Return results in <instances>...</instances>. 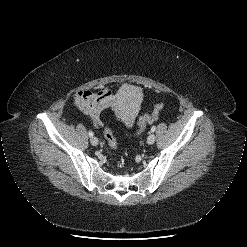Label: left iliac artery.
Masks as SVG:
<instances>
[{
  "label": "left iliac artery",
  "instance_id": "1",
  "mask_svg": "<svg viewBox=\"0 0 247 247\" xmlns=\"http://www.w3.org/2000/svg\"><path fill=\"white\" fill-rule=\"evenodd\" d=\"M156 130V126L154 125V126H152V128H151V132H154Z\"/></svg>",
  "mask_w": 247,
  "mask_h": 247
}]
</instances>
